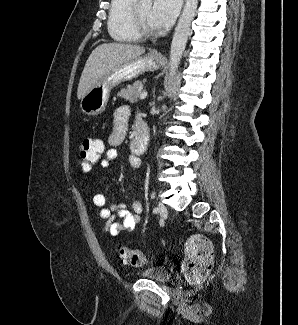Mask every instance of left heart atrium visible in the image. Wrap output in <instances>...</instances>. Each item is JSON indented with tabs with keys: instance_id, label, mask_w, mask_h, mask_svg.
<instances>
[{
	"instance_id": "obj_1",
	"label": "left heart atrium",
	"mask_w": 298,
	"mask_h": 325,
	"mask_svg": "<svg viewBox=\"0 0 298 325\" xmlns=\"http://www.w3.org/2000/svg\"><path fill=\"white\" fill-rule=\"evenodd\" d=\"M179 0H154L152 3V18L160 30L170 28L179 13Z\"/></svg>"
}]
</instances>
